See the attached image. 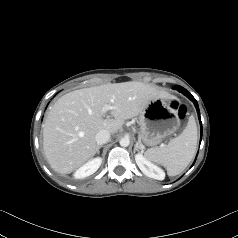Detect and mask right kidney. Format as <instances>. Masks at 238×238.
<instances>
[{
	"mask_svg": "<svg viewBox=\"0 0 238 238\" xmlns=\"http://www.w3.org/2000/svg\"><path fill=\"white\" fill-rule=\"evenodd\" d=\"M102 163V159L101 158H94L92 160H89L86 164H84L83 166H81L74 174V177L76 179H82L85 178L87 176L92 175L93 173H95L98 168L100 167Z\"/></svg>",
	"mask_w": 238,
	"mask_h": 238,
	"instance_id": "ca27d5eb",
	"label": "right kidney"
}]
</instances>
